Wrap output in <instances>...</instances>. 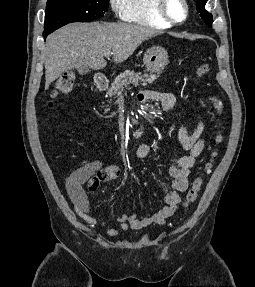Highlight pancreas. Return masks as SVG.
<instances>
[{
	"label": "pancreas",
	"mask_w": 255,
	"mask_h": 287,
	"mask_svg": "<svg viewBox=\"0 0 255 287\" xmlns=\"http://www.w3.org/2000/svg\"><path fill=\"white\" fill-rule=\"evenodd\" d=\"M157 78L159 76H156V74H141V72L136 74V72H131V70H125L123 74L115 78L113 84L108 88L107 94L109 98L120 96L121 92H124V86L125 88H128L129 84H133V86H147V84L155 82Z\"/></svg>",
	"instance_id": "1"
}]
</instances>
